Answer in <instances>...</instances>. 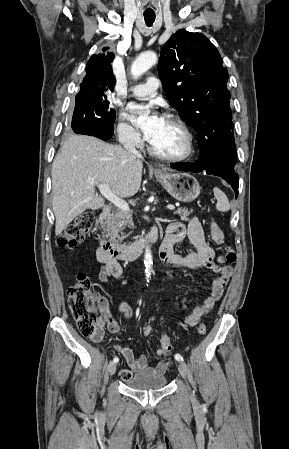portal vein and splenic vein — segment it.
Instances as JSON below:
<instances>
[{"label":"portal vein and splenic vein","mask_w":289,"mask_h":449,"mask_svg":"<svg viewBox=\"0 0 289 449\" xmlns=\"http://www.w3.org/2000/svg\"><path fill=\"white\" fill-rule=\"evenodd\" d=\"M100 191V193L111 203H113L117 208L124 212H129V205L128 203L120 198L119 196L115 195L109 188L107 184H97L96 185ZM167 208L170 210H174L175 206L172 204L167 205Z\"/></svg>","instance_id":"18ae733b"}]
</instances>
